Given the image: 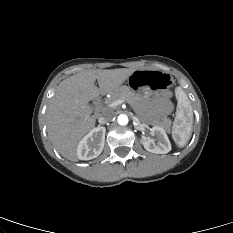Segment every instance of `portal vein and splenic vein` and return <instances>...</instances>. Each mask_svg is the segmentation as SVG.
Here are the masks:
<instances>
[{
	"instance_id": "obj_1",
	"label": "portal vein and splenic vein",
	"mask_w": 233,
	"mask_h": 233,
	"mask_svg": "<svg viewBox=\"0 0 233 233\" xmlns=\"http://www.w3.org/2000/svg\"><path fill=\"white\" fill-rule=\"evenodd\" d=\"M123 102H124V100H122V99L115 100L109 104V107H111V108L116 107L117 105H120Z\"/></svg>"
}]
</instances>
